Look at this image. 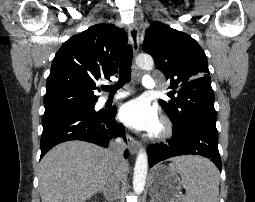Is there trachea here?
<instances>
[{
	"label": "trachea",
	"instance_id": "3493384b",
	"mask_svg": "<svg viewBox=\"0 0 255 202\" xmlns=\"http://www.w3.org/2000/svg\"><path fill=\"white\" fill-rule=\"evenodd\" d=\"M132 48L128 45L121 57L120 70H119V80L115 85L104 86L102 90L109 92V94H115L118 89H120L125 83L131 80V65H132Z\"/></svg>",
	"mask_w": 255,
	"mask_h": 202
}]
</instances>
